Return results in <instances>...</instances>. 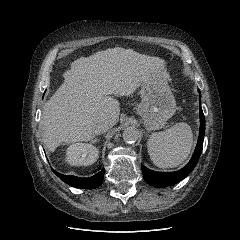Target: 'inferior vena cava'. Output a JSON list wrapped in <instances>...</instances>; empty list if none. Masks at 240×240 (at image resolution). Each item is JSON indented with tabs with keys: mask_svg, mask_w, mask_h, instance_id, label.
<instances>
[{
	"mask_svg": "<svg viewBox=\"0 0 240 240\" xmlns=\"http://www.w3.org/2000/svg\"><path fill=\"white\" fill-rule=\"evenodd\" d=\"M109 129V122L108 120L105 118L103 119L101 122H99L96 130H95V134H101L106 132Z\"/></svg>",
	"mask_w": 240,
	"mask_h": 240,
	"instance_id": "1",
	"label": "inferior vena cava"
}]
</instances>
